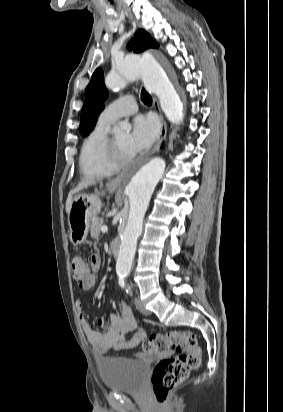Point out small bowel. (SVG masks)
<instances>
[{"label":"small bowel","instance_id":"obj_1","mask_svg":"<svg viewBox=\"0 0 283 412\" xmlns=\"http://www.w3.org/2000/svg\"><path fill=\"white\" fill-rule=\"evenodd\" d=\"M94 256L97 258L98 269L100 258L98 255ZM95 283L96 276L92 273L87 279L80 282L79 285L81 288L89 290L94 287ZM75 308L81 329L90 342L95 356L99 358H104L109 351L133 348L146 338V331L138 327L130 307L124 302L119 304V314L110 313L109 320L103 317L97 320L98 326L104 329L102 332L91 327L86 314L83 312L81 300L75 301ZM131 332H134V336L128 339L127 336Z\"/></svg>","mask_w":283,"mask_h":412}]
</instances>
